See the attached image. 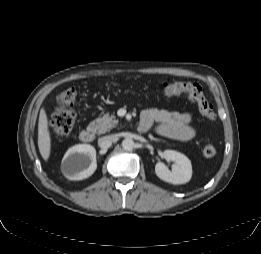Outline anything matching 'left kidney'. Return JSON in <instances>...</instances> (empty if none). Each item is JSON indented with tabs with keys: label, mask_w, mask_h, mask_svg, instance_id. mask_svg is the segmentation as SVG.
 Instances as JSON below:
<instances>
[{
	"label": "left kidney",
	"mask_w": 261,
	"mask_h": 254,
	"mask_svg": "<svg viewBox=\"0 0 261 254\" xmlns=\"http://www.w3.org/2000/svg\"><path fill=\"white\" fill-rule=\"evenodd\" d=\"M163 157L175 164L170 171L164 163L158 162L155 166L156 175L163 181L171 184H185L192 177L191 161L184 154L175 150H165Z\"/></svg>",
	"instance_id": "5707ae66"
}]
</instances>
